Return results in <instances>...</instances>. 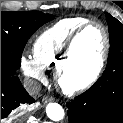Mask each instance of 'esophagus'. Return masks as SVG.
I'll return each mask as SVG.
<instances>
[{"label":"esophagus","instance_id":"34e87169","mask_svg":"<svg viewBox=\"0 0 123 123\" xmlns=\"http://www.w3.org/2000/svg\"><path fill=\"white\" fill-rule=\"evenodd\" d=\"M53 100H54L53 97L46 96V97H44V98L42 99V102H43L44 104H47V103H49V102H51V101H53Z\"/></svg>","mask_w":123,"mask_h":123}]
</instances>
